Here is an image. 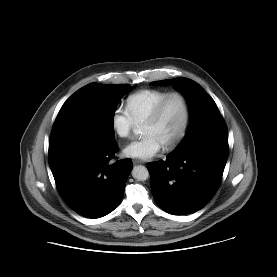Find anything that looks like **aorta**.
Returning a JSON list of instances; mask_svg holds the SVG:
<instances>
[{
    "label": "aorta",
    "instance_id": "aorta-1",
    "mask_svg": "<svg viewBox=\"0 0 277 277\" xmlns=\"http://www.w3.org/2000/svg\"><path fill=\"white\" fill-rule=\"evenodd\" d=\"M132 176L138 181H145L149 177V172L145 166L138 165L133 168Z\"/></svg>",
    "mask_w": 277,
    "mask_h": 277
}]
</instances>
